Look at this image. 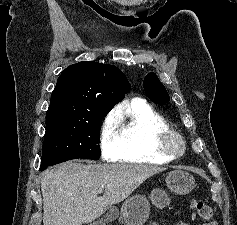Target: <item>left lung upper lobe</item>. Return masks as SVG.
Listing matches in <instances>:
<instances>
[{"instance_id": "left-lung-upper-lobe-1", "label": "left lung upper lobe", "mask_w": 237, "mask_h": 225, "mask_svg": "<svg viewBox=\"0 0 237 225\" xmlns=\"http://www.w3.org/2000/svg\"><path fill=\"white\" fill-rule=\"evenodd\" d=\"M144 90L146 95L155 103L165 104L169 101V95L165 87L153 73L145 77Z\"/></svg>"}]
</instances>
